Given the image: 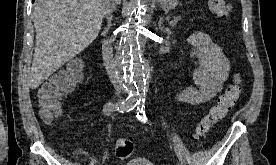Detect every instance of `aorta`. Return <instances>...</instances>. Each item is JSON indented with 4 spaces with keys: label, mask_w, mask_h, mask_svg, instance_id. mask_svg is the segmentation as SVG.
I'll return each mask as SVG.
<instances>
[{
    "label": "aorta",
    "mask_w": 276,
    "mask_h": 165,
    "mask_svg": "<svg viewBox=\"0 0 276 165\" xmlns=\"http://www.w3.org/2000/svg\"><path fill=\"white\" fill-rule=\"evenodd\" d=\"M147 0H136L135 12L130 16L120 38L117 52V70L129 101L142 102L146 95V79L149 67L142 55L144 26L140 12ZM139 13V14H138Z\"/></svg>",
    "instance_id": "aorta-1"
}]
</instances>
